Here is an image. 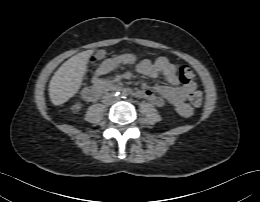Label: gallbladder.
I'll list each match as a JSON object with an SVG mask.
<instances>
[{"instance_id": "1", "label": "gallbladder", "mask_w": 260, "mask_h": 202, "mask_svg": "<svg viewBox=\"0 0 260 202\" xmlns=\"http://www.w3.org/2000/svg\"><path fill=\"white\" fill-rule=\"evenodd\" d=\"M104 56V52L103 51H98L96 54H95V58L96 59H101L103 58Z\"/></svg>"}]
</instances>
